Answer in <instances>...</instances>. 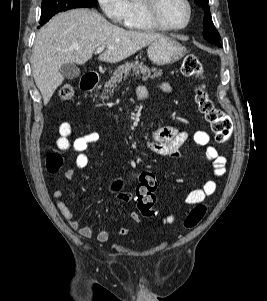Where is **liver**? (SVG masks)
<instances>
[{
	"label": "liver",
	"instance_id": "6515ba94",
	"mask_svg": "<svg viewBox=\"0 0 267 301\" xmlns=\"http://www.w3.org/2000/svg\"><path fill=\"white\" fill-rule=\"evenodd\" d=\"M163 37L153 32L128 31L112 25L97 11L74 9L53 17L36 36L32 74L46 105L64 76L66 63L83 65L99 47L107 49L100 61L116 63Z\"/></svg>",
	"mask_w": 267,
	"mask_h": 301
}]
</instances>
